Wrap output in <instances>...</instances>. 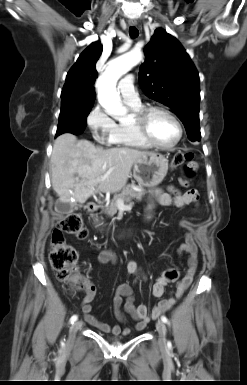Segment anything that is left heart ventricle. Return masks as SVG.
I'll use <instances>...</instances> for the list:
<instances>
[{"label": "left heart ventricle", "mask_w": 247, "mask_h": 385, "mask_svg": "<svg viewBox=\"0 0 247 385\" xmlns=\"http://www.w3.org/2000/svg\"><path fill=\"white\" fill-rule=\"evenodd\" d=\"M148 129L154 141L168 145L175 141L178 130L171 118L163 113H154L148 123Z\"/></svg>", "instance_id": "obj_1"}]
</instances>
